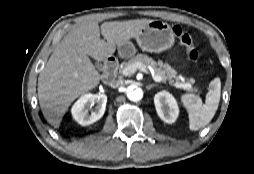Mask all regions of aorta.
<instances>
[{
	"mask_svg": "<svg viewBox=\"0 0 254 174\" xmlns=\"http://www.w3.org/2000/svg\"><path fill=\"white\" fill-rule=\"evenodd\" d=\"M127 97L131 101H139L143 98V91L141 88L131 85L127 88Z\"/></svg>",
	"mask_w": 254,
	"mask_h": 174,
	"instance_id": "762f6f07",
	"label": "aorta"
}]
</instances>
